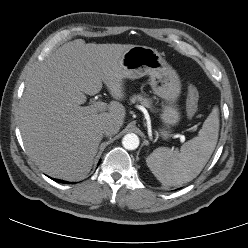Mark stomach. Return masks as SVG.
<instances>
[{
	"label": "stomach",
	"mask_w": 248,
	"mask_h": 248,
	"mask_svg": "<svg viewBox=\"0 0 248 248\" xmlns=\"http://www.w3.org/2000/svg\"><path fill=\"white\" fill-rule=\"evenodd\" d=\"M122 65L129 79L149 75L153 92L165 102L161 113L165 127L160 130V135L168 139L171 136L170 127L180 121L176 104L181 92L178 74L156 49L147 46L136 45L129 49L122 58Z\"/></svg>",
	"instance_id": "1"
}]
</instances>
